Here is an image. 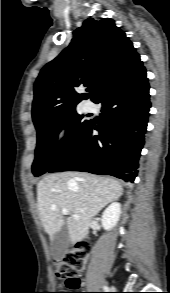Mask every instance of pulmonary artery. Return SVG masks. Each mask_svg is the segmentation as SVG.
<instances>
[{"mask_svg":"<svg viewBox=\"0 0 170 293\" xmlns=\"http://www.w3.org/2000/svg\"><path fill=\"white\" fill-rule=\"evenodd\" d=\"M85 110H86V111H91V110H92V104L88 103V104L85 106Z\"/></svg>","mask_w":170,"mask_h":293,"instance_id":"pulmonary-artery-1","label":"pulmonary artery"}]
</instances>
